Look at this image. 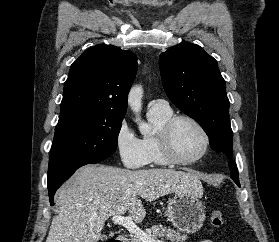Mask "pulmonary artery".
Here are the masks:
<instances>
[{
	"label": "pulmonary artery",
	"instance_id": "e3ab8cb5",
	"mask_svg": "<svg viewBox=\"0 0 279 242\" xmlns=\"http://www.w3.org/2000/svg\"><path fill=\"white\" fill-rule=\"evenodd\" d=\"M157 107V108H168V104L163 99H155L149 102V108Z\"/></svg>",
	"mask_w": 279,
	"mask_h": 242
}]
</instances>
